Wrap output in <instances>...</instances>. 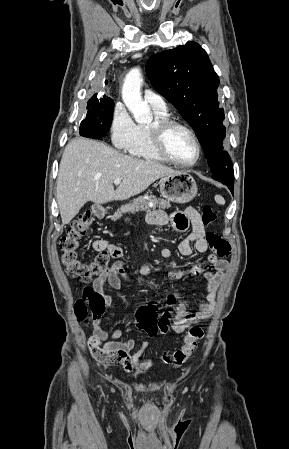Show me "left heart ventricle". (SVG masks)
I'll return each instance as SVG.
<instances>
[{"label": "left heart ventricle", "instance_id": "left-heart-ventricle-1", "mask_svg": "<svg viewBox=\"0 0 289 449\" xmlns=\"http://www.w3.org/2000/svg\"><path fill=\"white\" fill-rule=\"evenodd\" d=\"M167 147L178 161L190 163L196 159L197 148L192 138L182 129L175 128L167 135Z\"/></svg>", "mask_w": 289, "mask_h": 449}]
</instances>
